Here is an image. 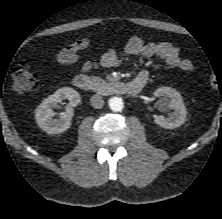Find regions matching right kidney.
<instances>
[{
	"label": "right kidney",
	"mask_w": 222,
	"mask_h": 219,
	"mask_svg": "<svg viewBox=\"0 0 222 219\" xmlns=\"http://www.w3.org/2000/svg\"><path fill=\"white\" fill-rule=\"evenodd\" d=\"M64 99L69 100L66 111L60 114L59 119H54L53 109L57 108ZM80 101L81 97L74 89L69 87L58 89L37 107L35 119L38 126L48 134H59L66 131L71 126L73 107L77 106Z\"/></svg>",
	"instance_id": "obj_1"
}]
</instances>
